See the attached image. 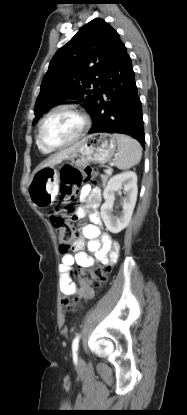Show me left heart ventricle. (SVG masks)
I'll return each instance as SVG.
<instances>
[{
	"label": "left heart ventricle",
	"mask_w": 187,
	"mask_h": 415,
	"mask_svg": "<svg viewBox=\"0 0 187 415\" xmlns=\"http://www.w3.org/2000/svg\"><path fill=\"white\" fill-rule=\"evenodd\" d=\"M81 127V119L74 112L61 110L43 124L42 139L48 145H60L73 139Z\"/></svg>",
	"instance_id": "left-heart-ventricle-1"
}]
</instances>
